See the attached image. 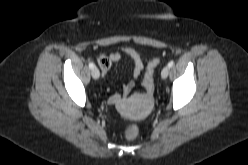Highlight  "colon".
Returning <instances> with one entry per match:
<instances>
[{
    "label": "colon",
    "mask_w": 248,
    "mask_h": 165,
    "mask_svg": "<svg viewBox=\"0 0 248 165\" xmlns=\"http://www.w3.org/2000/svg\"><path fill=\"white\" fill-rule=\"evenodd\" d=\"M160 64V60L157 58L152 59L148 65L142 81V87L144 93L147 96H151L154 92V74L157 67ZM139 130L135 125H127L123 128V135L128 140H134L138 137Z\"/></svg>",
    "instance_id": "5ec220e1"
}]
</instances>
